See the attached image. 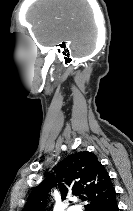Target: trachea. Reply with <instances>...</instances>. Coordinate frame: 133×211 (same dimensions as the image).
<instances>
[{"label": "trachea", "mask_w": 133, "mask_h": 211, "mask_svg": "<svg viewBox=\"0 0 133 211\" xmlns=\"http://www.w3.org/2000/svg\"><path fill=\"white\" fill-rule=\"evenodd\" d=\"M81 199H82V200H84V199H85V197H84V196H82V197H81Z\"/></svg>", "instance_id": "1"}]
</instances>
